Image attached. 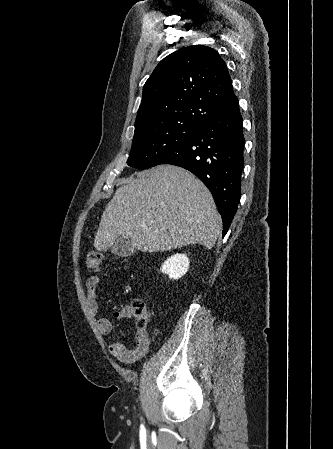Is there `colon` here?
<instances>
[{"label":"colon","mask_w":333,"mask_h":449,"mask_svg":"<svg viewBox=\"0 0 333 449\" xmlns=\"http://www.w3.org/2000/svg\"><path fill=\"white\" fill-rule=\"evenodd\" d=\"M104 261V255L97 250H91L86 255V266L90 270H98ZM131 315L135 318L139 328H145L150 313L145 304L140 300H134L129 306Z\"/></svg>","instance_id":"colon-1"}]
</instances>
